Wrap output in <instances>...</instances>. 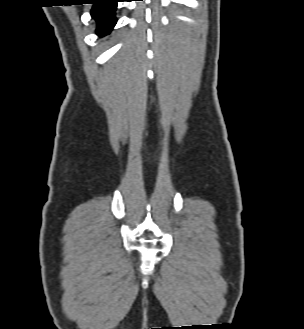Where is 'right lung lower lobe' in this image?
Wrapping results in <instances>:
<instances>
[{"mask_svg": "<svg viewBox=\"0 0 304 329\" xmlns=\"http://www.w3.org/2000/svg\"><path fill=\"white\" fill-rule=\"evenodd\" d=\"M117 2L118 0H93L91 15L97 23L96 33L99 36L109 34L115 26Z\"/></svg>", "mask_w": 304, "mask_h": 329, "instance_id": "1", "label": "right lung lower lobe"}]
</instances>
